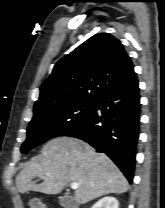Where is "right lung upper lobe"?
Segmentation results:
<instances>
[{"instance_id":"cb5924a9","label":"right lung upper lobe","mask_w":165,"mask_h":208,"mask_svg":"<svg viewBox=\"0 0 165 208\" xmlns=\"http://www.w3.org/2000/svg\"><path fill=\"white\" fill-rule=\"evenodd\" d=\"M134 74L121 42L99 33L59 60L40 87L34 110L67 101H97Z\"/></svg>"}]
</instances>
